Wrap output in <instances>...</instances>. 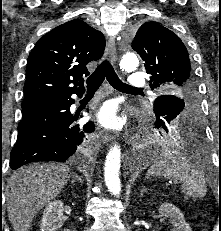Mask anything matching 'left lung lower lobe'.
<instances>
[{"label": "left lung lower lobe", "mask_w": 221, "mask_h": 231, "mask_svg": "<svg viewBox=\"0 0 221 231\" xmlns=\"http://www.w3.org/2000/svg\"><path fill=\"white\" fill-rule=\"evenodd\" d=\"M156 101L168 104L173 102L171 95H162L156 98ZM185 107V106H184ZM168 113H162V117L156 122V127H161L167 130L166 125L176 116H166ZM168 141L174 144H180L185 147L190 154L203 153V130L200 119L197 115L190 116L189 122L179 130H170L166 135Z\"/></svg>", "instance_id": "obj_1"}]
</instances>
